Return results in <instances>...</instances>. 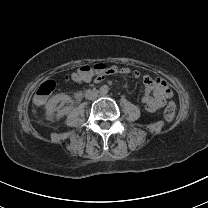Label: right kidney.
I'll return each instance as SVG.
<instances>
[{"label": "right kidney", "instance_id": "1", "mask_svg": "<svg viewBox=\"0 0 208 208\" xmlns=\"http://www.w3.org/2000/svg\"><path fill=\"white\" fill-rule=\"evenodd\" d=\"M71 98L68 95L65 94H57L54 95L53 97H51L46 105V109L49 113H52L54 111H57V116L61 117L63 115H65L69 108H63L60 109L65 103L70 102ZM61 102V105L59 107H57V104Z\"/></svg>", "mask_w": 208, "mask_h": 208}]
</instances>
